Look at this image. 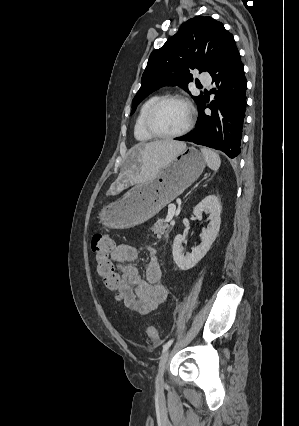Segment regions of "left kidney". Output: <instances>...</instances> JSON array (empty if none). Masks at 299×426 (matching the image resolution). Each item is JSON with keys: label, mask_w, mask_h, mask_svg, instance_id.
Segmentation results:
<instances>
[{"label": "left kidney", "mask_w": 299, "mask_h": 426, "mask_svg": "<svg viewBox=\"0 0 299 426\" xmlns=\"http://www.w3.org/2000/svg\"><path fill=\"white\" fill-rule=\"evenodd\" d=\"M203 212L210 215V222L206 229H202L200 245L192 248L191 253L184 255L182 247V243L185 242L184 236L179 234L174 238L173 259L181 270H189L194 267L206 255L218 235L221 224V205L217 196H206L193 210V214L198 220H202Z\"/></svg>", "instance_id": "5707ae66"}]
</instances>
